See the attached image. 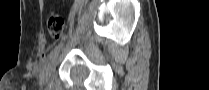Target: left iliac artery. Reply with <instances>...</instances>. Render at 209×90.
Returning <instances> with one entry per match:
<instances>
[{"instance_id":"1","label":"left iliac artery","mask_w":209,"mask_h":90,"mask_svg":"<svg viewBox=\"0 0 209 90\" xmlns=\"http://www.w3.org/2000/svg\"><path fill=\"white\" fill-rule=\"evenodd\" d=\"M63 44L60 43L58 45H56L52 51L50 52L49 56H48V59L49 60H53L60 52L61 48H62Z\"/></svg>"}]
</instances>
